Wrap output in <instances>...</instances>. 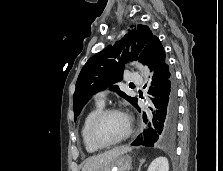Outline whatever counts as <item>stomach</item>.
<instances>
[{"label": "stomach", "mask_w": 223, "mask_h": 171, "mask_svg": "<svg viewBox=\"0 0 223 171\" xmlns=\"http://www.w3.org/2000/svg\"><path fill=\"white\" fill-rule=\"evenodd\" d=\"M132 165L130 155L124 153L116 157L110 164L105 166L100 171H129Z\"/></svg>", "instance_id": "0dacf381"}]
</instances>
